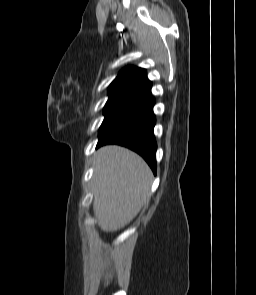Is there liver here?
<instances>
[{
  "instance_id": "liver-1",
  "label": "liver",
  "mask_w": 256,
  "mask_h": 295,
  "mask_svg": "<svg viewBox=\"0 0 256 295\" xmlns=\"http://www.w3.org/2000/svg\"><path fill=\"white\" fill-rule=\"evenodd\" d=\"M94 167V214L103 231L114 232L149 201L152 172L138 154L117 145L100 148Z\"/></svg>"
}]
</instances>
